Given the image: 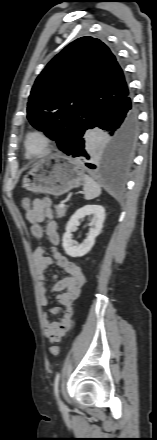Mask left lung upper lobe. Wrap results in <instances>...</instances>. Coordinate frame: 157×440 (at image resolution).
<instances>
[{"label": "left lung upper lobe", "mask_w": 157, "mask_h": 440, "mask_svg": "<svg viewBox=\"0 0 157 440\" xmlns=\"http://www.w3.org/2000/svg\"><path fill=\"white\" fill-rule=\"evenodd\" d=\"M128 91L110 49L99 39L81 37L57 54L37 77L27 118L66 153L91 128L100 111Z\"/></svg>", "instance_id": "1"}]
</instances>
